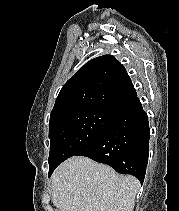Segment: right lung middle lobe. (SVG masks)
Listing matches in <instances>:
<instances>
[{
	"mask_svg": "<svg viewBox=\"0 0 179 211\" xmlns=\"http://www.w3.org/2000/svg\"><path fill=\"white\" fill-rule=\"evenodd\" d=\"M117 113L118 111L108 109H87L49 123V172L96 141Z\"/></svg>",
	"mask_w": 179,
	"mask_h": 211,
	"instance_id": "dd1d6c3e",
	"label": "right lung middle lobe"
}]
</instances>
